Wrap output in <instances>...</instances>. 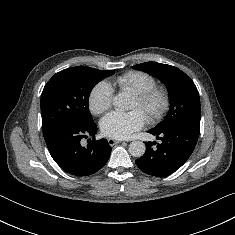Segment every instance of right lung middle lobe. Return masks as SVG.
Here are the masks:
<instances>
[{
	"mask_svg": "<svg viewBox=\"0 0 235 235\" xmlns=\"http://www.w3.org/2000/svg\"><path fill=\"white\" fill-rule=\"evenodd\" d=\"M114 70L72 67L56 73L41 94L42 131L47 138L64 125L88 126L94 123L88 109L89 95Z\"/></svg>",
	"mask_w": 235,
	"mask_h": 235,
	"instance_id": "obj_1",
	"label": "right lung middle lobe"
}]
</instances>
